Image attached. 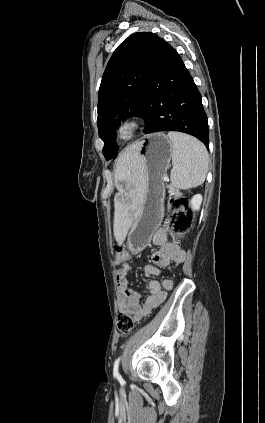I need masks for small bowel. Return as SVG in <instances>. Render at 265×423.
Here are the masks:
<instances>
[{"label": "small bowel", "mask_w": 265, "mask_h": 423, "mask_svg": "<svg viewBox=\"0 0 265 423\" xmlns=\"http://www.w3.org/2000/svg\"><path fill=\"white\" fill-rule=\"evenodd\" d=\"M152 243L158 247V250L151 256L153 264L145 267L147 275H160L162 269L171 262L181 263L185 260L186 252L181 249L178 243L170 241L169 233L165 228H159L155 231ZM130 271L127 255V260L121 264L116 274L117 306L120 312H129L134 320L139 322L165 300L167 291L173 288V280L165 278L161 283L157 280H149L146 282L145 290L136 291L128 287L127 277ZM144 295L146 297L140 303V299Z\"/></svg>", "instance_id": "c3829d8e"}]
</instances>
